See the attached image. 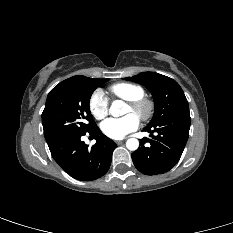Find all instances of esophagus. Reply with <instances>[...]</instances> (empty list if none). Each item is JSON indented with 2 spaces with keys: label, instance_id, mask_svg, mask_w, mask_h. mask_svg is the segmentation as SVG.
Instances as JSON below:
<instances>
[{
  "label": "esophagus",
  "instance_id": "1",
  "mask_svg": "<svg viewBox=\"0 0 233 233\" xmlns=\"http://www.w3.org/2000/svg\"><path fill=\"white\" fill-rule=\"evenodd\" d=\"M116 143H117L118 145H120V144L123 143V141H122V140H119V141H116Z\"/></svg>",
  "mask_w": 233,
  "mask_h": 233
}]
</instances>
